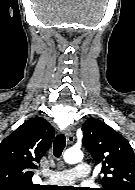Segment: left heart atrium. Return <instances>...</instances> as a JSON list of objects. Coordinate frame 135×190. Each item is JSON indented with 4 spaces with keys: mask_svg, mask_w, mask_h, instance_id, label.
<instances>
[{
    "mask_svg": "<svg viewBox=\"0 0 135 190\" xmlns=\"http://www.w3.org/2000/svg\"><path fill=\"white\" fill-rule=\"evenodd\" d=\"M67 190H79L78 188H69Z\"/></svg>",
    "mask_w": 135,
    "mask_h": 190,
    "instance_id": "1",
    "label": "left heart atrium"
}]
</instances>
